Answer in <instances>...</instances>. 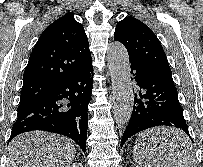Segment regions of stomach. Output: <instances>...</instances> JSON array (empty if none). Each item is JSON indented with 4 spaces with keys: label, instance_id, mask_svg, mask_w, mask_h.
Returning a JSON list of instances; mask_svg holds the SVG:
<instances>
[{
    "label": "stomach",
    "instance_id": "1",
    "mask_svg": "<svg viewBox=\"0 0 203 167\" xmlns=\"http://www.w3.org/2000/svg\"><path fill=\"white\" fill-rule=\"evenodd\" d=\"M147 151H148V150L146 149V146H145V154H146V155H147Z\"/></svg>",
    "mask_w": 203,
    "mask_h": 167
}]
</instances>
